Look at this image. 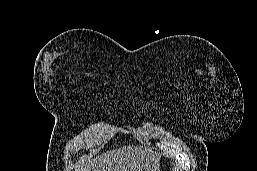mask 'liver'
I'll return each instance as SVG.
<instances>
[{
    "label": "liver",
    "mask_w": 257,
    "mask_h": 171,
    "mask_svg": "<svg viewBox=\"0 0 257 171\" xmlns=\"http://www.w3.org/2000/svg\"><path fill=\"white\" fill-rule=\"evenodd\" d=\"M158 160L148 148L124 146L82 161L79 171H158Z\"/></svg>",
    "instance_id": "6515ba94"
}]
</instances>
